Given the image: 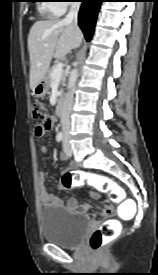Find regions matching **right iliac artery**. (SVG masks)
Masks as SVG:
<instances>
[{"mask_svg":"<svg viewBox=\"0 0 158 275\" xmlns=\"http://www.w3.org/2000/svg\"><path fill=\"white\" fill-rule=\"evenodd\" d=\"M56 140H57L58 142H60V141L63 140V133H62V132H59V133L57 134Z\"/></svg>","mask_w":158,"mask_h":275,"instance_id":"1","label":"right iliac artery"}]
</instances>
